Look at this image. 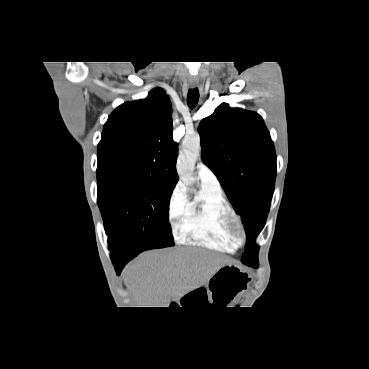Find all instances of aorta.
Wrapping results in <instances>:
<instances>
[{"mask_svg":"<svg viewBox=\"0 0 369 369\" xmlns=\"http://www.w3.org/2000/svg\"><path fill=\"white\" fill-rule=\"evenodd\" d=\"M200 136L187 135L182 142L181 153L177 160V173L186 183L192 182L195 162L200 153Z\"/></svg>","mask_w":369,"mask_h":369,"instance_id":"obj_1","label":"aorta"}]
</instances>
